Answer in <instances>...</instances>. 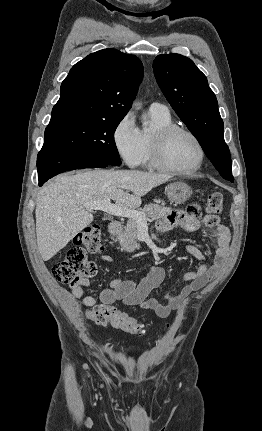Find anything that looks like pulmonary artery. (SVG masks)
Here are the masks:
<instances>
[{
    "mask_svg": "<svg viewBox=\"0 0 262 431\" xmlns=\"http://www.w3.org/2000/svg\"><path fill=\"white\" fill-rule=\"evenodd\" d=\"M149 110L157 111L161 113H169L168 107L162 103L153 102L150 105Z\"/></svg>",
    "mask_w": 262,
    "mask_h": 431,
    "instance_id": "e3ab8cb5",
    "label": "pulmonary artery"
}]
</instances>
